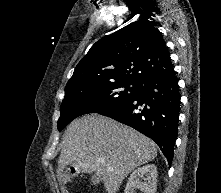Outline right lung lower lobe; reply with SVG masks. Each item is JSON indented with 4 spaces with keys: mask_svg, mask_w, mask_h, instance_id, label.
<instances>
[{
    "mask_svg": "<svg viewBox=\"0 0 221 193\" xmlns=\"http://www.w3.org/2000/svg\"><path fill=\"white\" fill-rule=\"evenodd\" d=\"M180 98L178 80L172 70L148 77L141 82L136 96L99 114L124 123L154 140L170 165L178 133Z\"/></svg>",
    "mask_w": 221,
    "mask_h": 193,
    "instance_id": "obj_1",
    "label": "right lung lower lobe"
}]
</instances>
